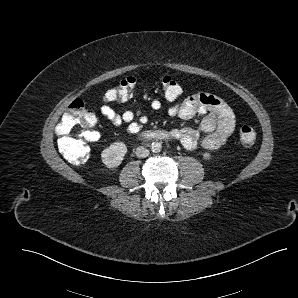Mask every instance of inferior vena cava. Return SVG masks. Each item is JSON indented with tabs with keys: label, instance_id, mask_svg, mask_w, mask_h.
Returning <instances> with one entry per match:
<instances>
[{
	"label": "inferior vena cava",
	"instance_id": "1",
	"mask_svg": "<svg viewBox=\"0 0 298 298\" xmlns=\"http://www.w3.org/2000/svg\"><path fill=\"white\" fill-rule=\"evenodd\" d=\"M135 153H136V156L139 158H146L150 154L149 150L143 146L137 147Z\"/></svg>",
	"mask_w": 298,
	"mask_h": 298
}]
</instances>
